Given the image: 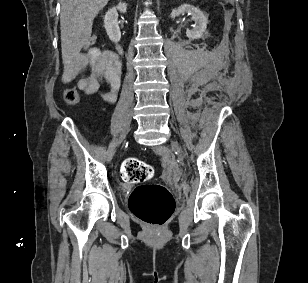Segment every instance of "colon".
Returning <instances> with one entry per match:
<instances>
[{
    "mask_svg": "<svg viewBox=\"0 0 308 283\" xmlns=\"http://www.w3.org/2000/svg\"><path fill=\"white\" fill-rule=\"evenodd\" d=\"M96 43V36H91L85 43V49L91 50ZM64 100L70 105L80 101L77 88L64 91ZM153 168L137 159H126L121 167V176L125 182L137 184L129 196L128 205L132 214L151 226H162L171 217L175 202L171 192L160 184H146L153 177Z\"/></svg>",
    "mask_w": 308,
    "mask_h": 283,
    "instance_id": "1",
    "label": "colon"
}]
</instances>
